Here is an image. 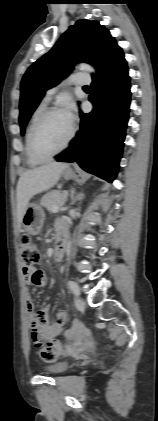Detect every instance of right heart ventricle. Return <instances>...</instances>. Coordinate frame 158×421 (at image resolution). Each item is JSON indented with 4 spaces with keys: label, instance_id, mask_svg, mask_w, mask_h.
<instances>
[{
    "label": "right heart ventricle",
    "instance_id": "1",
    "mask_svg": "<svg viewBox=\"0 0 158 421\" xmlns=\"http://www.w3.org/2000/svg\"><path fill=\"white\" fill-rule=\"evenodd\" d=\"M46 109V103L45 102H41L32 112L28 125H27V129H26V136H25V154H26V161L27 164L31 167H35L38 166L40 164L43 163V161H40L38 159H36L31 152L30 149V134H31V130L33 125L35 124V122L37 121V119L39 118V116L42 114V112Z\"/></svg>",
    "mask_w": 158,
    "mask_h": 421
}]
</instances>
